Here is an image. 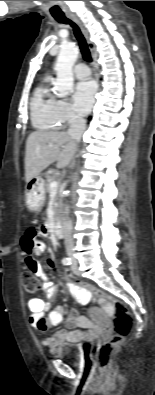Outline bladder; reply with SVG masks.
<instances>
[{
	"label": "bladder",
	"instance_id": "1",
	"mask_svg": "<svg viewBox=\"0 0 155 395\" xmlns=\"http://www.w3.org/2000/svg\"><path fill=\"white\" fill-rule=\"evenodd\" d=\"M53 355L73 363H79L83 357V350L75 344L63 342L53 349Z\"/></svg>",
	"mask_w": 155,
	"mask_h": 395
}]
</instances>
